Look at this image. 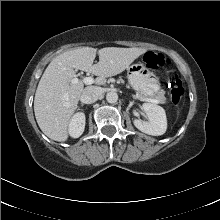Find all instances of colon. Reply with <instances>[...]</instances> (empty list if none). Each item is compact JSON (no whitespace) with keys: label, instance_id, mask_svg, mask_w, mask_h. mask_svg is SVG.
Listing matches in <instances>:
<instances>
[{"label":"colon","instance_id":"5ec220e1","mask_svg":"<svg viewBox=\"0 0 220 220\" xmlns=\"http://www.w3.org/2000/svg\"><path fill=\"white\" fill-rule=\"evenodd\" d=\"M143 61L148 68L153 70L163 69L170 64V60L163 54L153 51L147 52L143 57ZM168 87L171 102L178 104L184 95V88L177 75L168 78Z\"/></svg>","mask_w":220,"mask_h":220}]
</instances>
